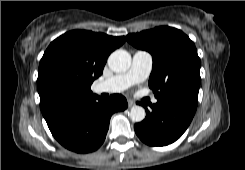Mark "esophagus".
Here are the masks:
<instances>
[{
  "instance_id": "esophagus-1",
  "label": "esophagus",
  "mask_w": 245,
  "mask_h": 170,
  "mask_svg": "<svg viewBox=\"0 0 245 170\" xmlns=\"http://www.w3.org/2000/svg\"><path fill=\"white\" fill-rule=\"evenodd\" d=\"M127 102H128V107H132L135 105V103L130 99Z\"/></svg>"
}]
</instances>
